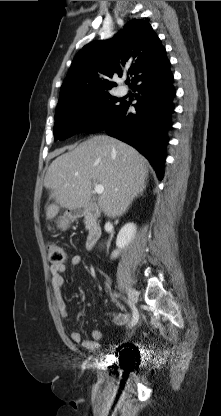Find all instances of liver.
Listing matches in <instances>:
<instances>
[{
	"instance_id": "6515ba94",
	"label": "liver",
	"mask_w": 221,
	"mask_h": 416,
	"mask_svg": "<svg viewBox=\"0 0 221 416\" xmlns=\"http://www.w3.org/2000/svg\"><path fill=\"white\" fill-rule=\"evenodd\" d=\"M147 178L148 162L135 148L106 135L93 136L50 164L44 186L55 203L46 206V219H53L60 207L87 205L92 181L104 187L100 209L110 218L119 217L143 192Z\"/></svg>"
}]
</instances>
